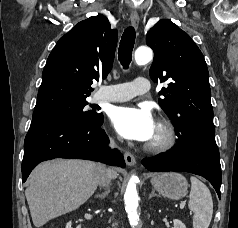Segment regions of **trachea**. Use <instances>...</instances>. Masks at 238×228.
<instances>
[{
    "label": "trachea",
    "mask_w": 238,
    "mask_h": 228,
    "mask_svg": "<svg viewBox=\"0 0 238 228\" xmlns=\"http://www.w3.org/2000/svg\"><path fill=\"white\" fill-rule=\"evenodd\" d=\"M135 30L133 27H128L125 29L119 46L118 59L122 66L127 69L131 62L132 51L135 43Z\"/></svg>",
    "instance_id": "obj_1"
}]
</instances>
